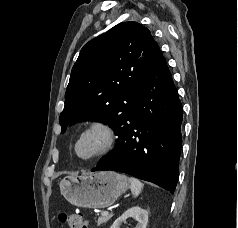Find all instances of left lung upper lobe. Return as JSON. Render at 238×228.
Masks as SVG:
<instances>
[{
  "instance_id": "obj_1",
  "label": "left lung upper lobe",
  "mask_w": 238,
  "mask_h": 228,
  "mask_svg": "<svg viewBox=\"0 0 238 228\" xmlns=\"http://www.w3.org/2000/svg\"><path fill=\"white\" fill-rule=\"evenodd\" d=\"M159 51L137 22L120 23L84 45L65 93L61 133L74 120H100L118 135Z\"/></svg>"
}]
</instances>
